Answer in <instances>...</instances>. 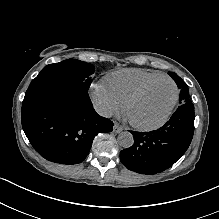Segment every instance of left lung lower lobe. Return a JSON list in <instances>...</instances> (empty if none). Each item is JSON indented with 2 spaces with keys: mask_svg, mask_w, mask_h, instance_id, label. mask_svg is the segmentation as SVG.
<instances>
[{
  "mask_svg": "<svg viewBox=\"0 0 219 219\" xmlns=\"http://www.w3.org/2000/svg\"><path fill=\"white\" fill-rule=\"evenodd\" d=\"M194 105L182 104L162 127L150 132L131 131L134 144L120 152L131 171L152 175L177 162L188 149L194 133Z\"/></svg>",
  "mask_w": 219,
  "mask_h": 219,
  "instance_id": "0a47b994",
  "label": "left lung lower lobe"
}]
</instances>
